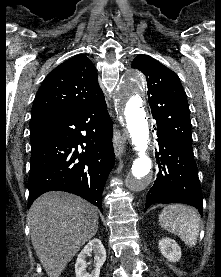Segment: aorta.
Listing matches in <instances>:
<instances>
[{
  "mask_svg": "<svg viewBox=\"0 0 221 277\" xmlns=\"http://www.w3.org/2000/svg\"><path fill=\"white\" fill-rule=\"evenodd\" d=\"M142 75L133 69L128 70L117 90L119 112L125 120L127 132L137 151L127 178V187L132 191H141L151 183L152 160L149 157V125L144 110Z\"/></svg>",
  "mask_w": 221,
  "mask_h": 277,
  "instance_id": "obj_1",
  "label": "aorta"
}]
</instances>
